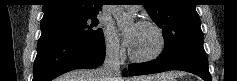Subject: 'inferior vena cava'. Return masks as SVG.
<instances>
[{
  "label": "inferior vena cava",
  "instance_id": "inferior-vena-cava-1",
  "mask_svg": "<svg viewBox=\"0 0 237 81\" xmlns=\"http://www.w3.org/2000/svg\"><path fill=\"white\" fill-rule=\"evenodd\" d=\"M100 72L102 81H116L120 77L119 49L116 46L106 47L105 60Z\"/></svg>",
  "mask_w": 237,
  "mask_h": 81
}]
</instances>
